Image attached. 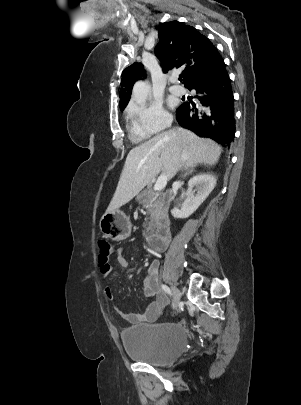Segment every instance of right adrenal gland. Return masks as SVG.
<instances>
[{
  "mask_svg": "<svg viewBox=\"0 0 301 405\" xmlns=\"http://www.w3.org/2000/svg\"><path fill=\"white\" fill-rule=\"evenodd\" d=\"M194 170H195V166L192 167L190 170H188V171L183 175V177H185V176L191 174Z\"/></svg>",
  "mask_w": 301,
  "mask_h": 405,
  "instance_id": "2a0ac1e0",
  "label": "right adrenal gland"
}]
</instances>
